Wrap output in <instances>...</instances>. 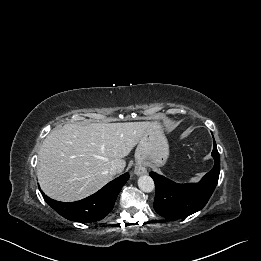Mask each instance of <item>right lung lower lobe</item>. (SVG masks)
<instances>
[{"mask_svg":"<svg viewBox=\"0 0 261 261\" xmlns=\"http://www.w3.org/2000/svg\"><path fill=\"white\" fill-rule=\"evenodd\" d=\"M128 179L129 174L125 173L105 185L95 194L70 203L55 201L42 191L41 193L47 204L64 218L88 223L103 219L113 209L115 200Z\"/></svg>","mask_w":261,"mask_h":261,"instance_id":"obj_1","label":"right lung lower lobe"}]
</instances>
